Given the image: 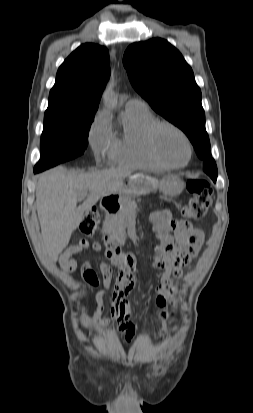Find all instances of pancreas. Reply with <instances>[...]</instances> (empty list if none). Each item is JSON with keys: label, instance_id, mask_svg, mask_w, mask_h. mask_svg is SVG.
Here are the masks:
<instances>
[{"label": "pancreas", "instance_id": "cf45deb5", "mask_svg": "<svg viewBox=\"0 0 253 413\" xmlns=\"http://www.w3.org/2000/svg\"><path fill=\"white\" fill-rule=\"evenodd\" d=\"M135 208L136 201L134 199H129L118 213L110 215L107 218V223L115 231L117 241L120 245H124L125 243L127 219Z\"/></svg>", "mask_w": 253, "mask_h": 413}]
</instances>
